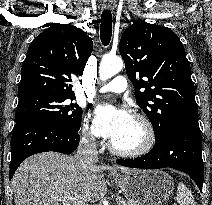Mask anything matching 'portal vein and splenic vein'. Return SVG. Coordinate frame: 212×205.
<instances>
[{"label":"portal vein and splenic vein","mask_w":212,"mask_h":205,"mask_svg":"<svg viewBox=\"0 0 212 205\" xmlns=\"http://www.w3.org/2000/svg\"><path fill=\"white\" fill-rule=\"evenodd\" d=\"M61 201L63 203H72L74 205H88V204H85L83 201L78 200L76 198H72V197H65Z\"/></svg>","instance_id":"1"}]
</instances>
